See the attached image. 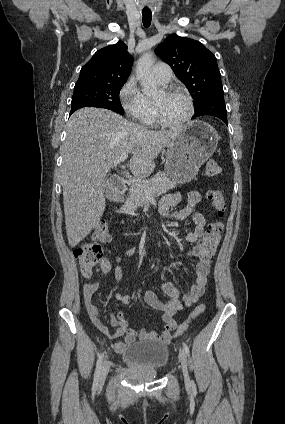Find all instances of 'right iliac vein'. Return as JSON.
Here are the masks:
<instances>
[{
    "label": "right iliac vein",
    "mask_w": 285,
    "mask_h": 424,
    "mask_svg": "<svg viewBox=\"0 0 285 424\" xmlns=\"http://www.w3.org/2000/svg\"><path fill=\"white\" fill-rule=\"evenodd\" d=\"M109 367H110L109 361H107V360L104 361V363H103V365L100 369V375H99V382L100 383H103L105 381V379L108 375V372H109Z\"/></svg>",
    "instance_id": "right-iliac-vein-1"
}]
</instances>
